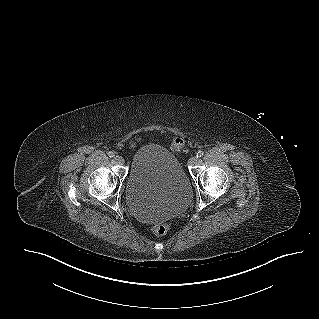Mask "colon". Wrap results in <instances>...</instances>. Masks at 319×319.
<instances>
[{
  "mask_svg": "<svg viewBox=\"0 0 319 319\" xmlns=\"http://www.w3.org/2000/svg\"><path fill=\"white\" fill-rule=\"evenodd\" d=\"M183 145H184V142L179 138H174L171 142V146L175 150H180L183 147ZM170 226H171L170 222L159 223V224L153 225L150 228V231L152 234L156 236H162L168 232V230L170 229Z\"/></svg>",
  "mask_w": 319,
  "mask_h": 319,
  "instance_id": "colon-1",
  "label": "colon"
}]
</instances>
